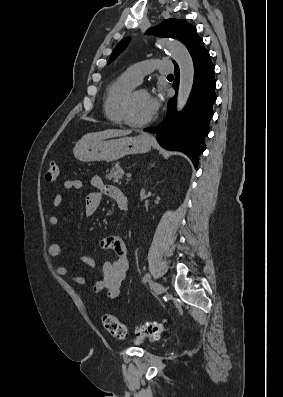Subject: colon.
I'll return each instance as SVG.
<instances>
[{"instance_id":"1","label":"colon","mask_w":283,"mask_h":397,"mask_svg":"<svg viewBox=\"0 0 283 397\" xmlns=\"http://www.w3.org/2000/svg\"><path fill=\"white\" fill-rule=\"evenodd\" d=\"M60 173V166L56 163H51L47 167L45 173V180L49 183L55 182ZM102 324L104 328L116 339L124 340L127 338V330L125 326L113 315L105 314L102 317ZM166 326L163 322H145L142 323L136 330L138 337L159 338L166 332Z\"/></svg>"}]
</instances>
